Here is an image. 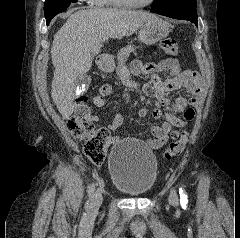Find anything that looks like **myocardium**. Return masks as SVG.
<instances>
[{
  "label": "myocardium",
  "instance_id": "myocardium-1",
  "mask_svg": "<svg viewBox=\"0 0 240 238\" xmlns=\"http://www.w3.org/2000/svg\"><path fill=\"white\" fill-rule=\"evenodd\" d=\"M114 1L118 6L124 7V8H142V7L149 6L154 2V0H148L147 2H144V3L130 2L128 0H114Z\"/></svg>",
  "mask_w": 240,
  "mask_h": 238
}]
</instances>
